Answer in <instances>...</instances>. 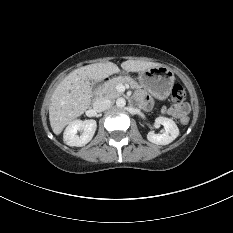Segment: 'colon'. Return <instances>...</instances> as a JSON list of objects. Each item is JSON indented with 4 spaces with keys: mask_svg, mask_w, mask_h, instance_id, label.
I'll list each match as a JSON object with an SVG mask.
<instances>
[{
    "mask_svg": "<svg viewBox=\"0 0 233 233\" xmlns=\"http://www.w3.org/2000/svg\"><path fill=\"white\" fill-rule=\"evenodd\" d=\"M171 97L176 106H182L186 98V92L180 84H175L172 87ZM180 122L182 125H187L189 123V118L187 116H182Z\"/></svg>",
    "mask_w": 233,
    "mask_h": 233,
    "instance_id": "5ec220e1",
    "label": "colon"
}]
</instances>
